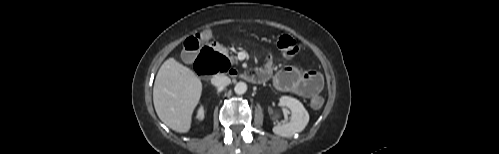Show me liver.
<instances>
[{"label":"liver","instance_id":"obj_1","mask_svg":"<svg viewBox=\"0 0 499 154\" xmlns=\"http://www.w3.org/2000/svg\"><path fill=\"white\" fill-rule=\"evenodd\" d=\"M202 83L186 66L169 58L160 67L153 87V103L160 120L172 130L186 133L199 103Z\"/></svg>","mask_w":499,"mask_h":154}]
</instances>
